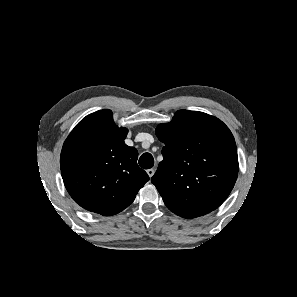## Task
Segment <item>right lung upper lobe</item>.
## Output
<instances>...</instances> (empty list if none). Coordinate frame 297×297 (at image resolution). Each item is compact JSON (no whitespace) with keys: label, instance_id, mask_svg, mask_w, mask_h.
I'll list each match as a JSON object with an SVG mask.
<instances>
[{"label":"right lung upper lobe","instance_id":"obj_1","mask_svg":"<svg viewBox=\"0 0 297 297\" xmlns=\"http://www.w3.org/2000/svg\"><path fill=\"white\" fill-rule=\"evenodd\" d=\"M126 128L111 110L89 114L63 144L60 167L65 187L84 209L104 216L128 207L149 180L137 165L138 152L124 143Z\"/></svg>","mask_w":297,"mask_h":297}]
</instances>
